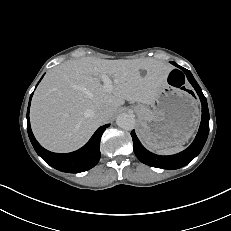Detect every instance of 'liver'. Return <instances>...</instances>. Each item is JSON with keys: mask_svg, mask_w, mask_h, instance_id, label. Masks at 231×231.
Segmentation results:
<instances>
[{"mask_svg": "<svg viewBox=\"0 0 231 231\" xmlns=\"http://www.w3.org/2000/svg\"><path fill=\"white\" fill-rule=\"evenodd\" d=\"M141 70L146 71L144 76ZM171 70L169 64L152 58L67 61L51 69L35 91L30 109L33 133L50 151H73L83 146L125 100L151 105ZM102 75L114 79L109 92L101 84ZM102 110L109 113L106 121L98 117Z\"/></svg>", "mask_w": 231, "mask_h": 231, "instance_id": "6515ba94", "label": "liver"}]
</instances>
